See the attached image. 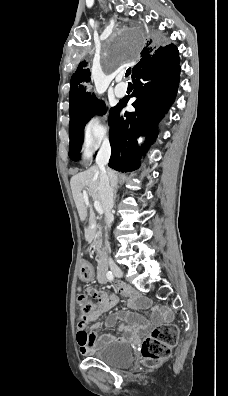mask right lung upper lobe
Listing matches in <instances>:
<instances>
[{
  "mask_svg": "<svg viewBox=\"0 0 228 396\" xmlns=\"http://www.w3.org/2000/svg\"><path fill=\"white\" fill-rule=\"evenodd\" d=\"M151 42L152 41H149V43L147 42L141 52L143 59L150 57L154 52L152 46H150ZM86 66L87 63L85 61L81 62L71 78V89L69 94L70 117L88 108L95 100H97L94 96L91 97L90 93L85 92V89L82 86L90 81V70L86 68ZM138 66L139 63L133 67L132 74Z\"/></svg>",
  "mask_w": 228,
  "mask_h": 396,
  "instance_id": "right-lung-upper-lobe-1",
  "label": "right lung upper lobe"
}]
</instances>
